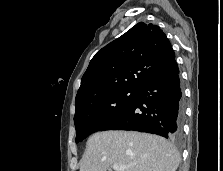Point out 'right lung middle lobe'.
Wrapping results in <instances>:
<instances>
[{"label": "right lung middle lobe", "mask_w": 223, "mask_h": 171, "mask_svg": "<svg viewBox=\"0 0 223 171\" xmlns=\"http://www.w3.org/2000/svg\"><path fill=\"white\" fill-rule=\"evenodd\" d=\"M136 94L137 91L114 92L76 109V143L116 119L134 101Z\"/></svg>", "instance_id": "dd1d6c3e"}]
</instances>
